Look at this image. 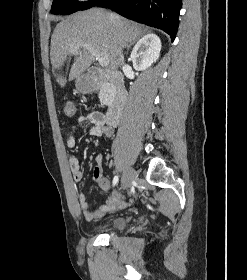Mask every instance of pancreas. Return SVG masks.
I'll return each mask as SVG.
<instances>
[{"mask_svg":"<svg viewBox=\"0 0 247 280\" xmlns=\"http://www.w3.org/2000/svg\"><path fill=\"white\" fill-rule=\"evenodd\" d=\"M111 89H112V85L109 83L104 84L101 88H100V92H99V99L100 102L102 104H107L108 101L111 99Z\"/></svg>","mask_w":247,"mask_h":280,"instance_id":"1","label":"pancreas"}]
</instances>
